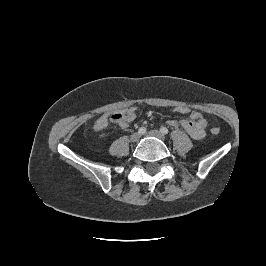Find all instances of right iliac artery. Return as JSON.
Listing matches in <instances>:
<instances>
[{"mask_svg": "<svg viewBox=\"0 0 266 266\" xmlns=\"http://www.w3.org/2000/svg\"><path fill=\"white\" fill-rule=\"evenodd\" d=\"M138 133H139L140 135L145 134V133H146V128H145V127H140V128L138 129Z\"/></svg>", "mask_w": 266, "mask_h": 266, "instance_id": "1", "label": "right iliac artery"}]
</instances>
